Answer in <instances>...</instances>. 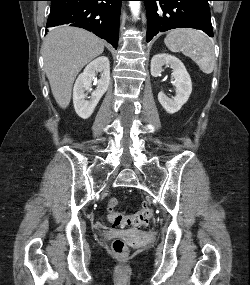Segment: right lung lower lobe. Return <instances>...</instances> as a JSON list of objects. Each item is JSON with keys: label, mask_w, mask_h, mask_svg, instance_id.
<instances>
[{"label": "right lung lower lobe", "mask_w": 250, "mask_h": 285, "mask_svg": "<svg viewBox=\"0 0 250 285\" xmlns=\"http://www.w3.org/2000/svg\"><path fill=\"white\" fill-rule=\"evenodd\" d=\"M47 28L70 24L92 31L117 48L124 0H50ZM47 31V30H46Z\"/></svg>", "instance_id": "obj_1"}]
</instances>
